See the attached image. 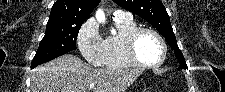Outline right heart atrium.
<instances>
[{
  "label": "right heart atrium",
  "mask_w": 225,
  "mask_h": 92,
  "mask_svg": "<svg viewBox=\"0 0 225 92\" xmlns=\"http://www.w3.org/2000/svg\"><path fill=\"white\" fill-rule=\"evenodd\" d=\"M76 41L78 49L87 63L97 67L104 65V39L95 19L90 18L82 24Z\"/></svg>",
  "instance_id": "obj_1"
}]
</instances>
